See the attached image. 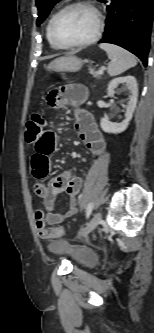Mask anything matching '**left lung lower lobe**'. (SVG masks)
Here are the masks:
<instances>
[{"instance_id":"1","label":"left lung lower lobe","mask_w":154,"mask_h":333,"mask_svg":"<svg viewBox=\"0 0 154 333\" xmlns=\"http://www.w3.org/2000/svg\"><path fill=\"white\" fill-rule=\"evenodd\" d=\"M106 27L99 43H112L135 54L147 66L154 19V0H101Z\"/></svg>"}]
</instances>
